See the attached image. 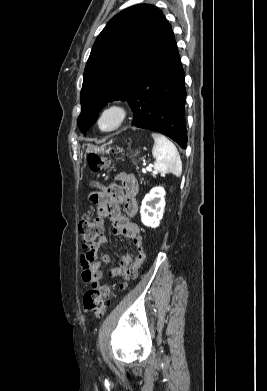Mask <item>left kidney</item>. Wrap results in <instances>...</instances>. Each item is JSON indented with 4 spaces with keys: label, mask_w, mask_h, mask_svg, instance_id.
<instances>
[{
    "label": "left kidney",
    "mask_w": 267,
    "mask_h": 391,
    "mask_svg": "<svg viewBox=\"0 0 267 391\" xmlns=\"http://www.w3.org/2000/svg\"><path fill=\"white\" fill-rule=\"evenodd\" d=\"M165 190L161 187L151 189L145 195L140 208L141 221L144 225L158 227L165 207Z\"/></svg>",
    "instance_id": "obj_1"
}]
</instances>
